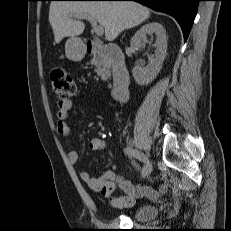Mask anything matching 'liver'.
<instances>
[{
    "label": "liver",
    "instance_id": "liver-1",
    "mask_svg": "<svg viewBox=\"0 0 231 231\" xmlns=\"http://www.w3.org/2000/svg\"><path fill=\"white\" fill-rule=\"evenodd\" d=\"M78 14L93 17L104 27L106 40L113 41L122 31L147 20L150 10L132 1H52L49 22L56 43L64 37H76L83 33L84 23L72 19Z\"/></svg>",
    "mask_w": 231,
    "mask_h": 231
}]
</instances>
